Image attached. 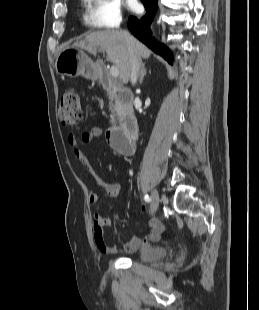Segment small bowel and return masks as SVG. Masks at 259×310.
Instances as JSON below:
<instances>
[{
	"mask_svg": "<svg viewBox=\"0 0 259 310\" xmlns=\"http://www.w3.org/2000/svg\"><path fill=\"white\" fill-rule=\"evenodd\" d=\"M102 129L100 127H93L89 131L84 132L80 136V141L84 144L92 143L95 139L100 137ZM68 143L72 147V151L76 159L85 167L87 173L94 179L96 184L101 187L108 196L117 197L122 191L120 183H111L104 181L95 171L89 158L82 152L79 147L77 138L69 134L67 137ZM88 200L90 203H96L98 195L95 192L89 194ZM141 212H145V207H141ZM111 225V219L101 214H94L92 218V227L94 233V240L98 250L103 254H115L118 252L132 253L141 246L157 242L160 239L163 227L159 222H152L149 225V231L143 237L133 235L127 242L118 245L108 243L104 236V228Z\"/></svg>",
	"mask_w": 259,
	"mask_h": 310,
	"instance_id": "c3829d8e",
	"label": "small bowel"
}]
</instances>
